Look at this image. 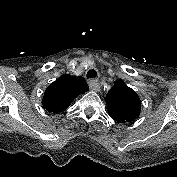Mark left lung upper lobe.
<instances>
[{"instance_id":"1","label":"left lung upper lobe","mask_w":177,"mask_h":177,"mask_svg":"<svg viewBox=\"0 0 177 177\" xmlns=\"http://www.w3.org/2000/svg\"><path fill=\"white\" fill-rule=\"evenodd\" d=\"M110 117L118 123H127L139 117L141 101L136 92L120 79L105 98Z\"/></svg>"}]
</instances>
